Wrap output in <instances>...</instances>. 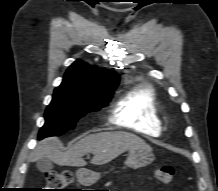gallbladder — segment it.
<instances>
[{
	"label": "gallbladder",
	"mask_w": 218,
	"mask_h": 191,
	"mask_svg": "<svg viewBox=\"0 0 218 191\" xmlns=\"http://www.w3.org/2000/svg\"><path fill=\"white\" fill-rule=\"evenodd\" d=\"M37 169L40 172H48L53 169V162L49 158H41L37 161Z\"/></svg>",
	"instance_id": "bac80fb5"
}]
</instances>
